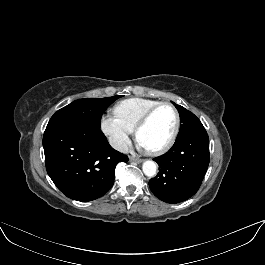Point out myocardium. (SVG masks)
Returning a JSON list of instances; mask_svg holds the SVG:
<instances>
[{
	"label": "myocardium",
	"instance_id": "obj_1",
	"mask_svg": "<svg viewBox=\"0 0 265 265\" xmlns=\"http://www.w3.org/2000/svg\"><path fill=\"white\" fill-rule=\"evenodd\" d=\"M163 107H169L175 116V124H174V129L170 135V137L168 138V140L161 146L154 148V149H147L149 154L152 155H158L161 154L165 151H167L175 142L179 130H180V125H181V118H180V114L179 111L177 110V108L169 103V102H160L158 104H156L155 106L151 107L150 109H148L143 115L142 117L138 120V122L136 123L135 127H134V132H135V136L136 138H138V134L139 131L149 122V120L151 119V117L161 108Z\"/></svg>",
	"mask_w": 265,
	"mask_h": 265
}]
</instances>
